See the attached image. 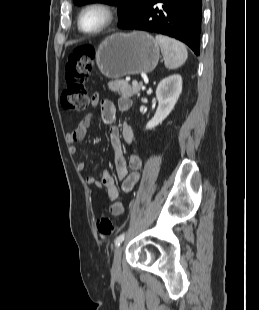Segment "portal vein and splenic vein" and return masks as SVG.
<instances>
[{
    "label": "portal vein and splenic vein",
    "mask_w": 259,
    "mask_h": 310,
    "mask_svg": "<svg viewBox=\"0 0 259 310\" xmlns=\"http://www.w3.org/2000/svg\"><path fill=\"white\" fill-rule=\"evenodd\" d=\"M136 85H138V82L136 80H133L132 81V86H136Z\"/></svg>",
    "instance_id": "1"
}]
</instances>
